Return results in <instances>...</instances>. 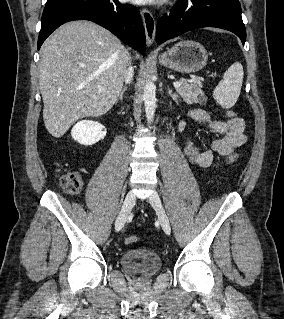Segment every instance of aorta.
<instances>
[{"instance_id": "aorta-1", "label": "aorta", "mask_w": 284, "mask_h": 319, "mask_svg": "<svg viewBox=\"0 0 284 319\" xmlns=\"http://www.w3.org/2000/svg\"><path fill=\"white\" fill-rule=\"evenodd\" d=\"M143 101L148 123L153 122L156 110V86L148 80L144 86Z\"/></svg>"}]
</instances>
